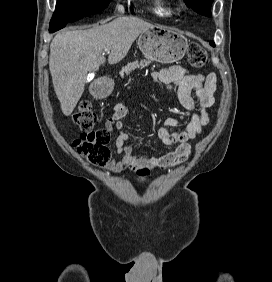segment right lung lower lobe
I'll return each instance as SVG.
<instances>
[{
	"label": "right lung lower lobe",
	"instance_id": "1",
	"mask_svg": "<svg viewBox=\"0 0 272 282\" xmlns=\"http://www.w3.org/2000/svg\"><path fill=\"white\" fill-rule=\"evenodd\" d=\"M81 18H83V17H81ZM81 18H77V19H74V20H71V21H68V22H74V21L79 20V19H81ZM68 22H60V23L51 25L50 28H49V32H50V33H53V32H55V31H57V30H59V29L65 27V25H66Z\"/></svg>",
	"mask_w": 272,
	"mask_h": 282
}]
</instances>
